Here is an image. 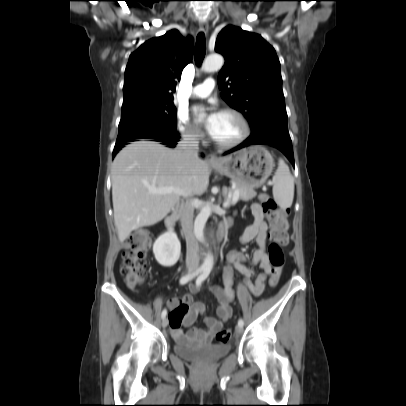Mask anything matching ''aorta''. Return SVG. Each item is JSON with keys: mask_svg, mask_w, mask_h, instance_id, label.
Segmentation results:
<instances>
[{"mask_svg": "<svg viewBox=\"0 0 406 406\" xmlns=\"http://www.w3.org/2000/svg\"><path fill=\"white\" fill-rule=\"evenodd\" d=\"M224 64V59L221 55L219 54H212L209 55L204 63H203V70L205 72H214L222 68ZM211 214V205L206 204L198 214V216L195 219L194 222V234L196 238L204 243V227L207 222L208 217ZM213 267V257L212 255H208L206 259L204 260V263L202 265V268L205 270L210 271Z\"/></svg>", "mask_w": 406, "mask_h": 406, "instance_id": "obj_1", "label": "aorta"}]
</instances>
